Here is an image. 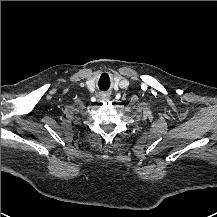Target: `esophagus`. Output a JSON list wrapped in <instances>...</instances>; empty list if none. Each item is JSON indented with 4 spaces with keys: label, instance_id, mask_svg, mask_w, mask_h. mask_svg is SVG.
<instances>
[{
    "label": "esophagus",
    "instance_id": "34e87169",
    "mask_svg": "<svg viewBox=\"0 0 217 217\" xmlns=\"http://www.w3.org/2000/svg\"><path fill=\"white\" fill-rule=\"evenodd\" d=\"M110 95L109 94H103L99 97L100 101H107L109 100Z\"/></svg>",
    "mask_w": 217,
    "mask_h": 217
}]
</instances>
